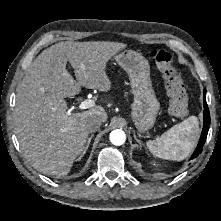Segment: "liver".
<instances>
[{"mask_svg":"<svg viewBox=\"0 0 221 221\" xmlns=\"http://www.w3.org/2000/svg\"><path fill=\"white\" fill-rule=\"evenodd\" d=\"M126 44L109 41L56 43L42 51L17 86L13 112L14 130L24 157L43 173L65 175L88 142L87 120L100 116L99 105L79 113H69L64 98L79 94L81 86L107 92L111 81L107 62ZM69 62L76 80L66 69Z\"/></svg>","mask_w":221,"mask_h":221,"instance_id":"liver-1","label":"liver"}]
</instances>
